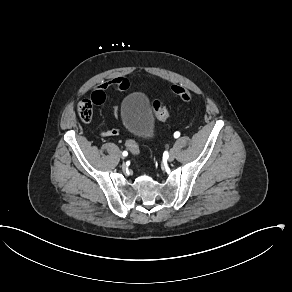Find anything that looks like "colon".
<instances>
[{
    "label": "colon",
    "mask_w": 292,
    "mask_h": 292,
    "mask_svg": "<svg viewBox=\"0 0 292 292\" xmlns=\"http://www.w3.org/2000/svg\"><path fill=\"white\" fill-rule=\"evenodd\" d=\"M175 95L183 101H191V96L188 90L181 86H175L173 88ZM106 99L105 93L103 91H96L91 98H82L76 107V113L81 122L88 124L91 122L93 117V110L95 106H100L104 103ZM152 109L154 111L155 117L159 121L167 120L171 115V107L169 105H164L160 100H154L152 102ZM125 146L127 151L131 155H138L140 152L139 145L134 137L128 136L125 139Z\"/></svg>",
    "instance_id": "obj_1"
}]
</instances>
